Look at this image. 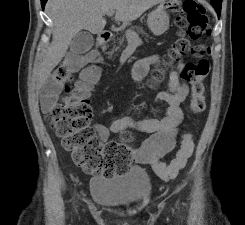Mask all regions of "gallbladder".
I'll list each match as a JSON object with an SVG mask.
<instances>
[{
    "label": "gallbladder",
    "instance_id": "1",
    "mask_svg": "<svg viewBox=\"0 0 245 225\" xmlns=\"http://www.w3.org/2000/svg\"><path fill=\"white\" fill-rule=\"evenodd\" d=\"M93 45V35L87 31H80L71 40L70 51L78 55L85 54Z\"/></svg>",
    "mask_w": 245,
    "mask_h": 225
}]
</instances>
